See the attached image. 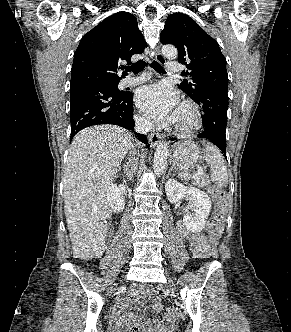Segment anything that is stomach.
<instances>
[{"label": "stomach", "instance_id": "0dacf381", "mask_svg": "<svg viewBox=\"0 0 291 332\" xmlns=\"http://www.w3.org/2000/svg\"><path fill=\"white\" fill-rule=\"evenodd\" d=\"M200 159V149L192 141H179L173 146L172 165L178 169H189Z\"/></svg>", "mask_w": 291, "mask_h": 332}]
</instances>
